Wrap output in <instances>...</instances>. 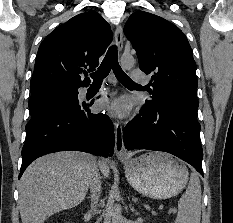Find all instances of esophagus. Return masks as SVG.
Returning <instances> with one entry per match:
<instances>
[{
  "instance_id": "esophagus-1",
  "label": "esophagus",
  "mask_w": 233,
  "mask_h": 223,
  "mask_svg": "<svg viewBox=\"0 0 233 223\" xmlns=\"http://www.w3.org/2000/svg\"><path fill=\"white\" fill-rule=\"evenodd\" d=\"M123 40L124 39L122 26L118 25V27L115 30V43L119 51H121L123 48ZM115 154L119 159L128 158V154L123 142L122 125L119 122L115 124Z\"/></svg>"
}]
</instances>
